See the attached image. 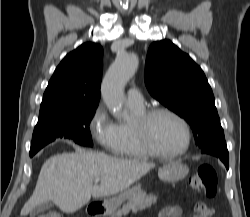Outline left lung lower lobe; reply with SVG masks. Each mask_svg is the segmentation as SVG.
I'll return each instance as SVG.
<instances>
[{
  "mask_svg": "<svg viewBox=\"0 0 250 217\" xmlns=\"http://www.w3.org/2000/svg\"><path fill=\"white\" fill-rule=\"evenodd\" d=\"M201 152L204 154H210L216 156L222 160L226 168H229V153L227 150L225 140L216 142L214 144L208 145L201 149Z\"/></svg>",
  "mask_w": 250,
  "mask_h": 217,
  "instance_id": "1",
  "label": "left lung lower lobe"
}]
</instances>
